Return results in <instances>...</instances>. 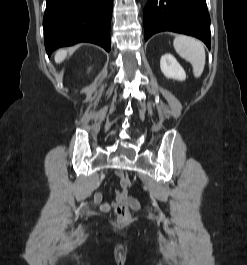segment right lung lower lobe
Listing matches in <instances>:
<instances>
[{
  "label": "right lung lower lobe",
  "mask_w": 247,
  "mask_h": 265,
  "mask_svg": "<svg viewBox=\"0 0 247 265\" xmlns=\"http://www.w3.org/2000/svg\"><path fill=\"white\" fill-rule=\"evenodd\" d=\"M112 8L113 0H47L43 18L47 54L79 42L109 51Z\"/></svg>",
  "instance_id": "1"
}]
</instances>
